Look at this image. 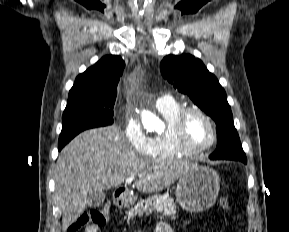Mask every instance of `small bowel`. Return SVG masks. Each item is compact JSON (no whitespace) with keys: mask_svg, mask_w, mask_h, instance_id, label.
I'll return each instance as SVG.
<instances>
[{"mask_svg":"<svg viewBox=\"0 0 289 232\" xmlns=\"http://www.w3.org/2000/svg\"><path fill=\"white\" fill-rule=\"evenodd\" d=\"M84 232H100V228L96 225H89ZM155 232H173L172 228L164 222H158L155 225Z\"/></svg>","mask_w":289,"mask_h":232,"instance_id":"obj_1","label":"small bowel"}]
</instances>
